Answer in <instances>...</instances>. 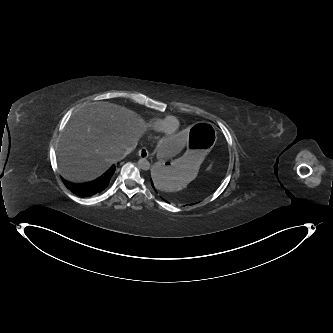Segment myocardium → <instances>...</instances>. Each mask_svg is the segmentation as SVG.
Instances as JSON below:
<instances>
[{
	"label": "myocardium",
	"instance_id": "f54148a6",
	"mask_svg": "<svg viewBox=\"0 0 333 333\" xmlns=\"http://www.w3.org/2000/svg\"><path fill=\"white\" fill-rule=\"evenodd\" d=\"M170 120H174V116H169L168 118L165 119V121H164V123H163V126H162V128H161V139H162V140H165V139H168V138H172V137H174V136L177 134L178 130H179V128H176V129L174 130V132H172L171 134H169V133L167 132V123H168Z\"/></svg>",
	"mask_w": 333,
	"mask_h": 333
}]
</instances>
